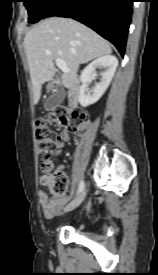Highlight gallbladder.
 Listing matches in <instances>:
<instances>
[{"label": "gallbladder", "instance_id": "bac80fb5", "mask_svg": "<svg viewBox=\"0 0 158 275\" xmlns=\"http://www.w3.org/2000/svg\"><path fill=\"white\" fill-rule=\"evenodd\" d=\"M65 92L62 86L56 85L54 92L44 102V109L47 111L53 110L60 105L64 100Z\"/></svg>", "mask_w": 158, "mask_h": 275}]
</instances>
